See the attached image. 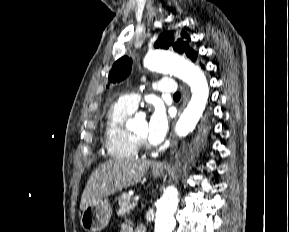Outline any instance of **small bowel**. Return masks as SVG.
<instances>
[{
	"mask_svg": "<svg viewBox=\"0 0 289 232\" xmlns=\"http://www.w3.org/2000/svg\"><path fill=\"white\" fill-rule=\"evenodd\" d=\"M136 229H133L130 225L128 224H122L120 226V232H136Z\"/></svg>",
	"mask_w": 289,
	"mask_h": 232,
	"instance_id": "small-bowel-1",
	"label": "small bowel"
}]
</instances>
